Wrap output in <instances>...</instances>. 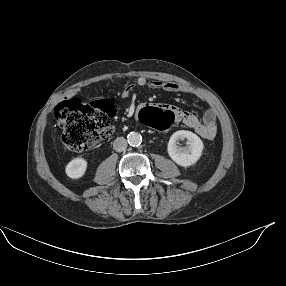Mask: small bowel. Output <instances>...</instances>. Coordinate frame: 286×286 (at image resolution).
I'll return each instance as SVG.
<instances>
[{"mask_svg": "<svg viewBox=\"0 0 286 286\" xmlns=\"http://www.w3.org/2000/svg\"><path fill=\"white\" fill-rule=\"evenodd\" d=\"M144 87L163 90L170 93L193 94L199 99H205V96L202 93L196 92L187 86L162 80L151 81L144 77H139L135 83L126 85L123 88L122 93L123 95L128 96L132 94L136 89ZM154 105L156 107H161L169 110L173 114L174 122H182L188 128L194 130L201 138L211 141L216 137L218 130L217 113L213 108H209L205 112L202 120H200L197 116L190 112L182 111L174 106H171L170 102L167 100L155 101L154 99H147L139 101L136 104L135 109L132 111V116L138 117L144 108Z\"/></svg>", "mask_w": 286, "mask_h": 286, "instance_id": "obj_1", "label": "small bowel"}]
</instances>
